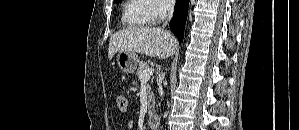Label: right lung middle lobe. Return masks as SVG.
<instances>
[{
	"label": "right lung middle lobe",
	"instance_id": "1",
	"mask_svg": "<svg viewBox=\"0 0 299 130\" xmlns=\"http://www.w3.org/2000/svg\"><path fill=\"white\" fill-rule=\"evenodd\" d=\"M121 2H122V0H118V1L115 2V4H118V3H121Z\"/></svg>",
	"mask_w": 299,
	"mask_h": 130
}]
</instances>
